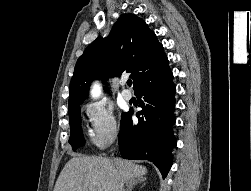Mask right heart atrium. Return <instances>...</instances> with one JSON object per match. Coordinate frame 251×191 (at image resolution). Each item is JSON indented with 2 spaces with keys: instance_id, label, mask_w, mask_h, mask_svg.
Listing matches in <instances>:
<instances>
[{
  "instance_id": "d8ad5b80",
  "label": "right heart atrium",
  "mask_w": 251,
  "mask_h": 191,
  "mask_svg": "<svg viewBox=\"0 0 251 191\" xmlns=\"http://www.w3.org/2000/svg\"><path fill=\"white\" fill-rule=\"evenodd\" d=\"M92 146L102 150L113 143L119 133L113 110L102 101H90L83 108Z\"/></svg>"
}]
</instances>
